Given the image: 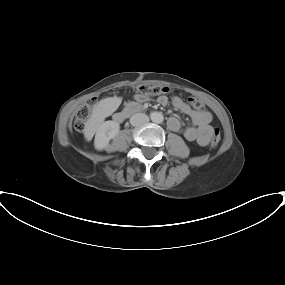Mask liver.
I'll list each match as a JSON object with an SVG mask.
<instances>
[{
	"mask_svg": "<svg viewBox=\"0 0 285 285\" xmlns=\"http://www.w3.org/2000/svg\"><path fill=\"white\" fill-rule=\"evenodd\" d=\"M113 100H114L113 98H106V99L101 100L97 105H95L92 111V115L84 127V136L87 141H90L92 137L94 136L100 123L102 122L104 117L107 115L108 106L110 102Z\"/></svg>",
	"mask_w": 285,
	"mask_h": 285,
	"instance_id": "1",
	"label": "liver"
}]
</instances>
